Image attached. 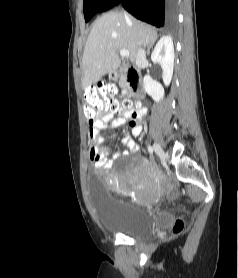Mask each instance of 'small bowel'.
Masks as SVG:
<instances>
[{"label":"small bowel","instance_id":"c3829d8e","mask_svg":"<svg viewBox=\"0 0 238 278\" xmlns=\"http://www.w3.org/2000/svg\"><path fill=\"white\" fill-rule=\"evenodd\" d=\"M114 112L105 111L99 114V118L90 126V151L89 156L94 165L99 169H110L114 161L121 155H129L139 150L138 144L134 138L138 137L142 131L141 113L133 110L125 111L120 109L119 114L114 119ZM128 123L131 129V135L124 136L121 140L125 149L122 152H111L103 149L102 145L110 137V131Z\"/></svg>","mask_w":238,"mask_h":278}]
</instances>
